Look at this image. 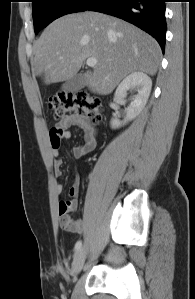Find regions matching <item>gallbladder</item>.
Segmentation results:
<instances>
[{
    "label": "gallbladder",
    "mask_w": 195,
    "mask_h": 299,
    "mask_svg": "<svg viewBox=\"0 0 195 299\" xmlns=\"http://www.w3.org/2000/svg\"><path fill=\"white\" fill-rule=\"evenodd\" d=\"M86 86V77L84 74H76L72 78L66 80L62 89L65 92H76Z\"/></svg>",
    "instance_id": "obj_1"
}]
</instances>
